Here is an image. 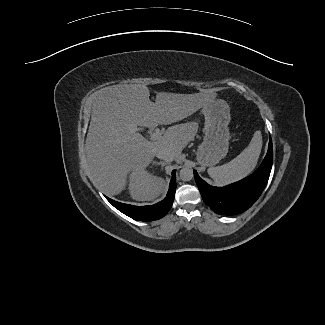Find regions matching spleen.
<instances>
[{
    "mask_svg": "<svg viewBox=\"0 0 325 325\" xmlns=\"http://www.w3.org/2000/svg\"><path fill=\"white\" fill-rule=\"evenodd\" d=\"M262 149L261 131L257 130L248 147L230 162L208 169L211 178L218 185H226L249 175L257 165Z\"/></svg>",
    "mask_w": 325,
    "mask_h": 325,
    "instance_id": "obj_1",
    "label": "spleen"
}]
</instances>
